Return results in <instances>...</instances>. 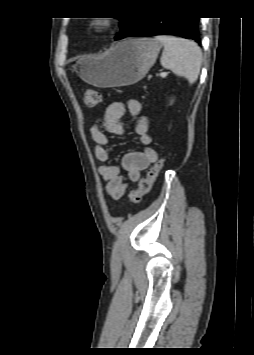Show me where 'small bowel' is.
Returning <instances> with one entry per match:
<instances>
[{"label":"small bowel","instance_id":"obj_1","mask_svg":"<svg viewBox=\"0 0 254 355\" xmlns=\"http://www.w3.org/2000/svg\"><path fill=\"white\" fill-rule=\"evenodd\" d=\"M135 119L134 133L140 143L145 146L143 151L128 152L122 156L120 165L110 164L111 153L108 149V135H120L124 128L121 122L125 112ZM148 118L142 114V104L138 100L131 99L126 104L122 101H114L108 105L104 113L101 125L91 127V137L95 142L94 153L102 163L98 171L105 182V191L112 200L120 199L126 192L130 182L140 179L142 171L155 163L158 153L152 147L149 135ZM126 171L122 175L121 170Z\"/></svg>","mask_w":254,"mask_h":355}]
</instances>
